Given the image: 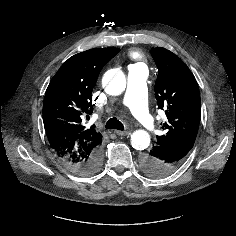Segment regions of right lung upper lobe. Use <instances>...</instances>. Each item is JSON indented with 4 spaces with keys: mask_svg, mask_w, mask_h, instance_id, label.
<instances>
[{
    "mask_svg": "<svg viewBox=\"0 0 236 236\" xmlns=\"http://www.w3.org/2000/svg\"><path fill=\"white\" fill-rule=\"evenodd\" d=\"M119 48H94L70 57L49 83L43 102V122L51 148L63 162H80L102 143L95 125L91 94L104 65ZM64 164V163H63Z\"/></svg>",
    "mask_w": 236,
    "mask_h": 236,
    "instance_id": "1",
    "label": "right lung upper lobe"
}]
</instances>
